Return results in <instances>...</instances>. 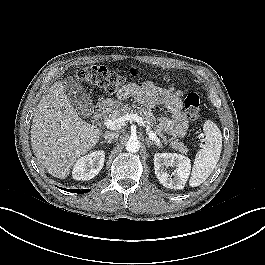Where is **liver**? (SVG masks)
I'll use <instances>...</instances> for the list:
<instances>
[{
  "label": "liver",
  "mask_w": 265,
  "mask_h": 265,
  "mask_svg": "<svg viewBox=\"0 0 265 265\" xmlns=\"http://www.w3.org/2000/svg\"><path fill=\"white\" fill-rule=\"evenodd\" d=\"M31 146L40 164L53 177L65 179L78 158L100 138V128L83 121L61 81L40 99L31 126Z\"/></svg>",
  "instance_id": "6515ba94"
}]
</instances>
